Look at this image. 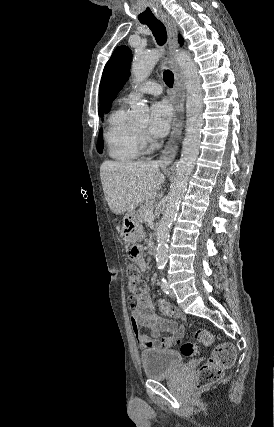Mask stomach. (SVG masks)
Listing matches in <instances>:
<instances>
[{
  "label": "stomach",
  "instance_id": "stomach-1",
  "mask_svg": "<svg viewBox=\"0 0 274 427\" xmlns=\"http://www.w3.org/2000/svg\"><path fill=\"white\" fill-rule=\"evenodd\" d=\"M120 235L126 243H136L143 239L145 231L139 223L136 214H126L123 217Z\"/></svg>",
  "mask_w": 274,
  "mask_h": 427
}]
</instances>
